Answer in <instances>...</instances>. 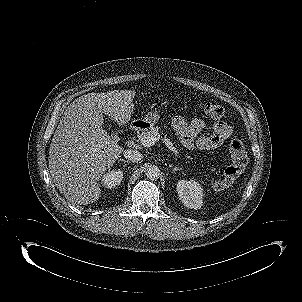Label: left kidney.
<instances>
[{"label":"left kidney","instance_id":"1","mask_svg":"<svg viewBox=\"0 0 302 302\" xmlns=\"http://www.w3.org/2000/svg\"><path fill=\"white\" fill-rule=\"evenodd\" d=\"M176 190L184 206L195 210L201 208L203 203V189L198 182L195 180H179Z\"/></svg>","mask_w":302,"mask_h":302}]
</instances>
